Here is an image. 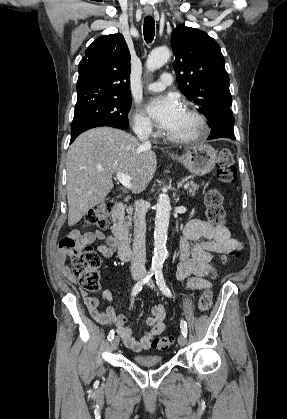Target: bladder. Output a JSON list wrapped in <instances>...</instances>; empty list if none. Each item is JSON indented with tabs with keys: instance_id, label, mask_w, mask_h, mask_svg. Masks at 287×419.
I'll return each instance as SVG.
<instances>
[{
	"instance_id": "31cf9c89",
	"label": "bladder",
	"mask_w": 287,
	"mask_h": 419,
	"mask_svg": "<svg viewBox=\"0 0 287 419\" xmlns=\"http://www.w3.org/2000/svg\"><path fill=\"white\" fill-rule=\"evenodd\" d=\"M133 361L145 367H153L161 364L162 358L152 355H134Z\"/></svg>"
}]
</instances>
